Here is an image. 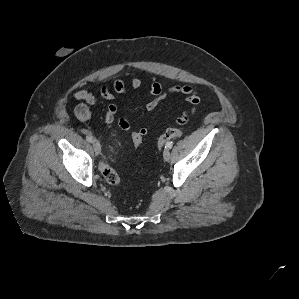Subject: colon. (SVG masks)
<instances>
[{"label":"colon","instance_id":"obj_1","mask_svg":"<svg viewBox=\"0 0 299 299\" xmlns=\"http://www.w3.org/2000/svg\"><path fill=\"white\" fill-rule=\"evenodd\" d=\"M183 131L178 128H169L165 131L164 134H162L158 141L157 145L158 147H162L165 143L169 142L172 139H175L177 137H180L182 135ZM145 135L139 130H134L131 133V144L134 148H138L143 141V137ZM100 171L104 178V180L110 184V185H116L120 182V176L117 173V171L112 168L106 161L102 162L100 164Z\"/></svg>","mask_w":299,"mask_h":299}]
</instances>
